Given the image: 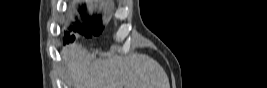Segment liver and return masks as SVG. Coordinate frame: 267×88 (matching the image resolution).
<instances>
[{
    "label": "liver",
    "instance_id": "obj_1",
    "mask_svg": "<svg viewBox=\"0 0 267 88\" xmlns=\"http://www.w3.org/2000/svg\"><path fill=\"white\" fill-rule=\"evenodd\" d=\"M61 54L73 88H170L160 64L144 54L93 60L76 43L66 45Z\"/></svg>",
    "mask_w": 267,
    "mask_h": 88
}]
</instances>
